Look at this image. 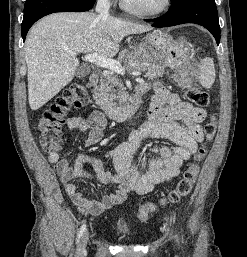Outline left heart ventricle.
Instances as JSON below:
<instances>
[{"label": "left heart ventricle", "mask_w": 247, "mask_h": 257, "mask_svg": "<svg viewBox=\"0 0 247 257\" xmlns=\"http://www.w3.org/2000/svg\"><path fill=\"white\" fill-rule=\"evenodd\" d=\"M131 6L143 9V10H154L159 8L163 0H126Z\"/></svg>", "instance_id": "obj_1"}]
</instances>
